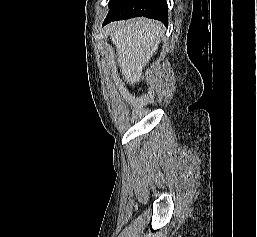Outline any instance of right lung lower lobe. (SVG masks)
<instances>
[{
    "mask_svg": "<svg viewBox=\"0 0 257 237\" xmlns=\"http://www.w3.org/2000/svg\"><path fill=\"white\" fill-rule=\"evenodd\" d=\"M110 11L103 25L111 21L124 20L138 16L156 19L168 24L166 0H115L109 5Z\"/></svg>",
    "mask_w": 257,
    "mask_h": 237,
    "instance_id": "98d812e1",
    "label": "right lung lower lobe"
}]
</instances>
